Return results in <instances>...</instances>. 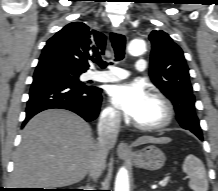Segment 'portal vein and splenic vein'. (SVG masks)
I'll return each mask as SVG.
<instances>
[{"label": "portal vein and splenic vein", "instance_id": "portal-vein-and-splenic-vein-1", "mask_svg": "<svg viewBox=\"0 0 218 191\" xmlns=\"http://www.w3.org/2000/svg\"><path fill=\"white\" fill-rule=\"evenodd\" d=\"M171 176H166L161 182V187H165L167 185V183L169 182Z\"/></svg>", "mask_w": 218, "mask_h": 191}]
</instances>
